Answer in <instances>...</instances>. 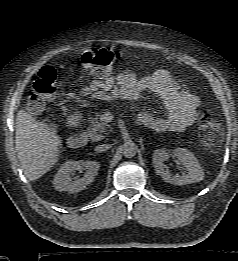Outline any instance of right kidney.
I'll return each mask as SVG.
<instances>
[{"instance_id":"obj_1","label":"right kidney","mask_w":238,"mask_h":261,"mask_svg":"<svg viewBox=\"0 0 238 261\" xmlns=\"http://www.w3.org/2000/svg\"><path fill=\"white\" fill-rule=\"evenodd\" d=\"M99 167L100 164L96 161H66L59 168L53 185L57 191L79 192L94 181ZM75 171H85V173L82 178L72 180L70 175Z\"/></svg>"}]
</instances>
